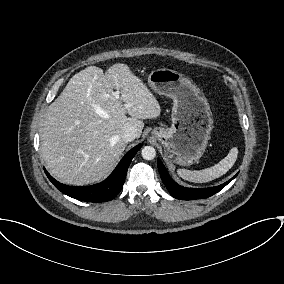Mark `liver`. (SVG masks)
<instances>
[{"instance_id":"6515ba94","label":"liver","mask_w":284,"mask_h":284,"mask_svg":"<svg viewBox=\"0 0 284 284\" xmlns=\"http://www.w3.org/2000/svg\"><path fill=\"white\" fill-rule=\"evenodd\" d=\"M160 113L154 95L127 64L116 63L105 73L89 66L75 74L47 108L42 157L60 182L75 186L100 182L127 146L125 130L133 128L139 138L143 120Z\"/></svg>"}]
</instances>
